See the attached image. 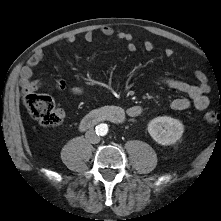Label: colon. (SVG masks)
<instances>
[{
  "label": "colon",
  "mask_w": 221,
  "mask_h": 221,
  "mask_svg": "<svg viewBox=\"0 0 221 221\" xmlns=\"http://www.w3.org/2000/svg\"><path fill=\"white\" fill-rule=\"evenodd\" d=\"M23 104L27 111L44 127L52 128L61 123V118L55 110L53 100L46 95L26 94ZM207 124L214 125L221 122L220 114L215 110H208L204 114Z\"/></svg>",
  "instance_id": "obj_1"
}]
</instances>
